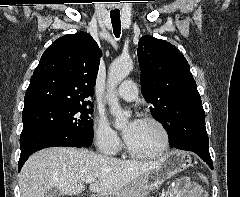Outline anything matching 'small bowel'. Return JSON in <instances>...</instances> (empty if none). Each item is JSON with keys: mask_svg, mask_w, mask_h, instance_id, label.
Masks as SVG:
<instances>
[{"mask_svg": "<svg viewBox=\"0 0 240 197\" xmlns=\"http://www.w3.org/2000/svg\"><path fill=\"white\" fill-rule=\"evenodd\" d=\"M166 197H208V194L198 184L183 180L171 187Z\"/></svg>", "mask_w": 240, "mask_h": 197, "instance_id": "obj_1", "label": "small bowel"}]
</instances>
